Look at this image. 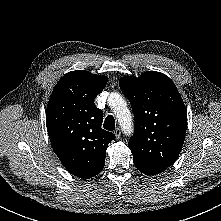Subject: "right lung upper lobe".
I'll return each instance as SVG.
<instances>
[{
    "mask_svg": "<svg viewBox=\"0 0 221 221\" xmlns=\"http://www.w3.org/2000/svg\"><path fill=\"white\" fill-rule=\"evenodd\" d=\"M107 77L71 71L55 86L47 106L46 125L54 152L73 175L89 179L104 167L106 149L115 135L101 128L103 112L95 97Z\"/></svg>",
    "mask_w": 221,
    "mask_h": 221,
    "instance_id": "1",
    "label": "right lung upper lobe"
}]
</instances>
